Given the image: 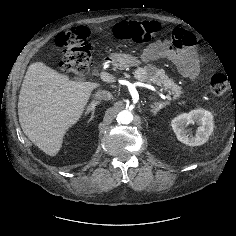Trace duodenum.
<instances>
[{"instance_id": "410a0bca", "label": "duodenum", "mask_w": 236, "mask_h": 236, "mask_svg": "<svg viewBox=\"0 0 236 236\" xmlns=\"http://www.w3.org/2000/svg\"><path fill=\"white\" fill-rule=\"evenodd\" d=\"M112 63H113V59H111V58H106V59L103 60V64H108V65H110V64H112Z\"/></svg>"}]
</instances>
